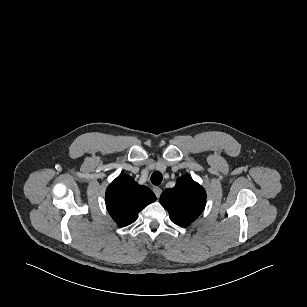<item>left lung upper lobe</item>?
<instances>
[{"instance_id":"obj_1","label":"left lung upper lobe","mask_w":307,"mask_h":307,"mask_svg":"<svg viewBox=\"0 0 307 307\" xmlns=\"http://www.w3.org/2000/svg\"><path fill=\"white\" fill-rule=\"evenodd\" d=\"M172 222L185 227L199 217L205 208L206 193L190 176L178 178L175 187L166 189L160 196Z\"/></svg>"}]
</instances>
